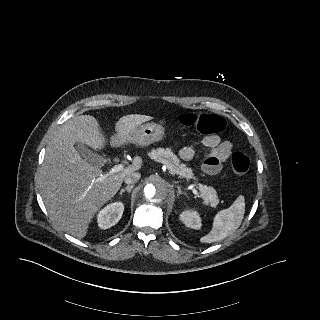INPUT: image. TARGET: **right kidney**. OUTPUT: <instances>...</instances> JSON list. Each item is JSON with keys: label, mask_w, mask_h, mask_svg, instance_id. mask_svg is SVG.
Masks as SVG:
<instances>
[{"label": "right kidney", "mask_w": 320, "mask_h": 320, "mask_svg": "<svg viewBox=\"0 0 320 320\" xmlns=\"http://www.w3.org/2000/svg\"><path fill=\"white\" fill-rule=\"evenodd\" d=\"M124 211L122 202H114L104 207L97 215L98 226L108 229L118 223Z\"/></svg>", "instance_id": "right-kidney-1"}]
</instances>
